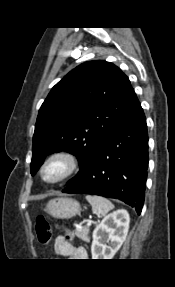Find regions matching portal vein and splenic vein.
I'll use <instances>...</instances> for the list:
<instances>
[{
	"instance_id": "obj_1",
	"label": "portal vein and splenic vein",
	"mask_w": 175,
	"mask_h": 287,
	"mask_svg": "<svg viewBox=\"0 0 175 287\" xmlns=\"http://www.w3.org/2000/svg\"><path fill=\"white\" fill-rule=\"evenodd\" d=\"M87 224H91V221H90V220H87Z\"/></svg>"
}]
</instances>
